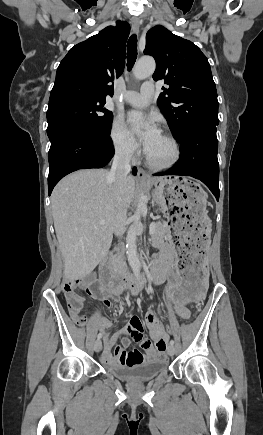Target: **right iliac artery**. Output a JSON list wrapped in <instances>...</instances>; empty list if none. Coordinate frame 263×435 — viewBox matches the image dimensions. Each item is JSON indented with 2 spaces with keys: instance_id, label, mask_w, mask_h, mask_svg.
<instances>
[{
  "instance_id": "right-iliac-artery-1",
  "label": "right iliac artery",
  "mask_w": 263,
  "mask_h": 435,
  "mask_svg": "<svg viewBox=\"0 0 263 435\" xmlns=\"http://www.w3.org/2000/svg\"><path fill=\"white\" fill-rule=\"evenodd\" d=\"M101 337H102V335L99 333V334L97 335V338L100 339Z\"/></svg>"
}]
</instances>
